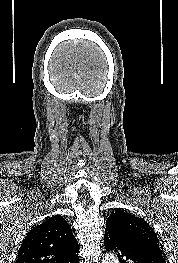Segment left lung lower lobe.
Listing matches in <instances>:
<instances>
[{
    "label": "left lung lower lobe",
    "instance_id": "0a47b994",
    "mask_svg": "<svg viewBox=\"0 0 178 263\" xmlns=\"http://www.w3.org/2000/svg\"><path fill=\"white\" fill-rule=\"evenodd\" d=\"M104 245L117 252L120 263H166L159 243L113 222H106Z\"/></svg>",
    "mask_w": 178,
    "mask_h": 263
}]
</instances>
